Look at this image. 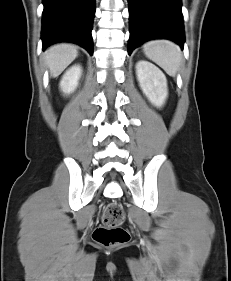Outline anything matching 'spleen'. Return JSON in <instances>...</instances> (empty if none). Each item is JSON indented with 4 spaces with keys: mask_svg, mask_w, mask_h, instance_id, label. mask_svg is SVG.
I'll use <instances>...</instances> for the list:
<instances>
[{
    "mask_svg": "<svg viewBox=\"0 0 231 281\" xmlns=\"http://www.w3.org/2000/svg\"><path fill=\"white\" fill-rule=\"evenodd\" d=\"M145 55L170 76L180 69L182 52L178 45L168 40L150 41L143 45Z\"/></svg>",
    "mask_w": 231,
    "mask_h": 281,
    "instance_id": "spleen-1",
    "label": "spleen"
}]
</instances>
